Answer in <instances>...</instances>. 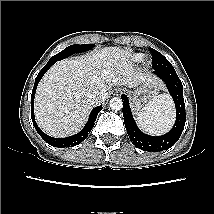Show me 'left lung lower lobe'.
<instances>
[{"mask_svg":"<svg viewBox=\"0 0 214 214\" xmlns=\"http://www.w3.org/2000/svg\"><path fill=\"white\" fill-rule=\"evenodd\" d=\"M153 73L165 82L175 102L176 121L173 128L168 133L162 136H150L141 132L132 116L127 96L123 94L121 98L123 100L122 112L124 116L125 128L131 142L137 148L144 151L158 152L169 149L180 138L185 126L186 115L183 98V85L177 76L176 71L174 69H154Z\"/></svg>","mask_w":214,"mask_h":214,"instance_id":"left-lung-lower-lobe-1","label":"left lung lower lobe"}]
</instances>
